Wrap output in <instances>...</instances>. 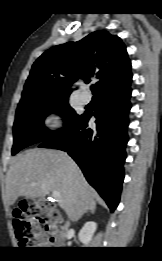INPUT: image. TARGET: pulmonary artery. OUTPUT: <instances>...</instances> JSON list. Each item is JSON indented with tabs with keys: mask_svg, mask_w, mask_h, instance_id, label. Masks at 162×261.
I'll return each mask as SVG.
<instances>
[{
	"mask_svg": "<svg viewBox=\"0 0 162 261\" xmlns=\"http://www.w3.org/2000/svg\"><path fill=\"white\" fill-rule=\"evenodd\" d=\"M80 98L84 103H89L92 99V95L89 91L83 90L80 93Z\"/></svg>",
	"mask_w": 162,
	"mask_h": 261,
	"instance_id": "pulmonary-artery-1",
	"label": "pulmonary artery"
}]
</instances>
